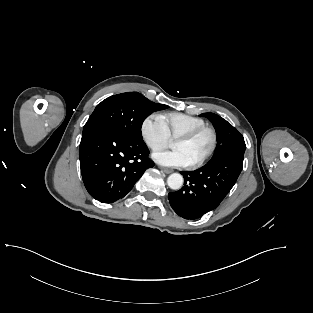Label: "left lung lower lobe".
<instances>
[{"label": "left lung lower lobe", "mask_w": 313, "mask_h": 313, "mask_svg": "<svg viewBox=\"0 0 313 313\" xmlns=\"http://www.w3.org/2000/svg\"><path fill=\"white\" fill-rule=\"evenodd\" d=\"M243 156L244 153L228 154L195 171L181 172L184 186L168 194L173 210L185 219H197L217 208L236 183Z\"/></svg>", "instance_id": "1"}]
</instances>
